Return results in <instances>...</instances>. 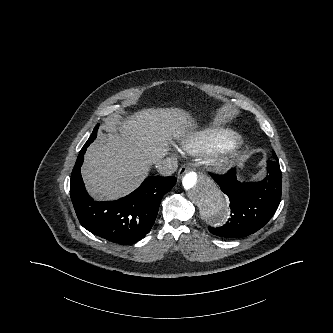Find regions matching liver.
<instances>
[{
	"label": "liver",
	"mask_w": 333,
	"mask_h": 333,
	"mask_svg": "<svg viewBox=\"0 0 333 333\" xmlns=\"http://www.w3.org/2000/svg\"><path fill=\"white\" fill-rule=\"evenodd\" d=\"M196 127L192 116L177 108H149L113 119L89 146L82 167L88 192L100 200H116L133 192L149 167L167 153L166 140Z\"/></svg>",
	"instance_id": "6515ba94"
}]
</instances>
